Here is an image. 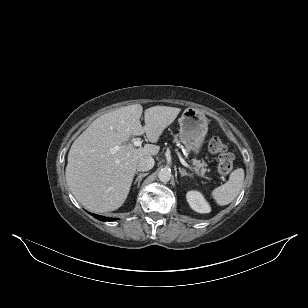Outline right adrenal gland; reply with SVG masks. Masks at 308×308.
<instances>
[{"label":"right adrenal gland","mask_w":308,"mask_h":308,"mask_svg":"<svg viewBox=\"0 0 308 308\" xmlns=\"http://www.w3.org/2000/svg\"><path fill=\"white\" fill-rule=\"evenodd\" d=\"M146 175H148V173H140L138 176H137V178H136V180H135V182H134V185L136 184V183H138V188H139V186H140V183H141V181H142V178L143 177H145Z\"/></svg>","instance_id":"right-adrenal-gland-1"}]
</instances>
